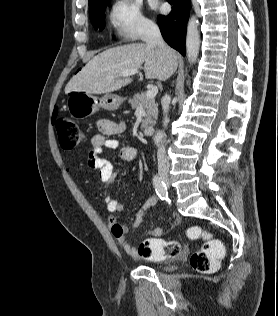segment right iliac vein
Listing matches in <instances>:
<instances>
[{"label":"right iliac vein","mask_w":278,"mask_h":316,"mask_svg":"<svg viewBox=\"0 0 278 316\" xmlns=\"http://www.w3.org/2000/svg\"><path fill=\"white\" fill-rule=\"evenodd\" d=\"M161 179L166 183L169 184V178L167 174L162 173L161 175Z\"/></svg>","instance_id":"obj_1"}]
</instances>
